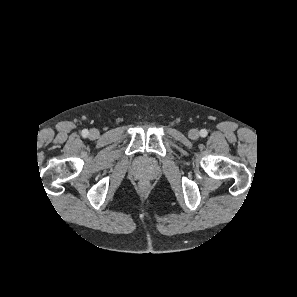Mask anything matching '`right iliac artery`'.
I'll list each match as a JSON object with an SVG mask.
<instances>
[{"label":"right iliac artery","mask_w":297,"mask_h":297,"mask_svg":"<svg viewBox=\"0 0 297 297\" xmlns=\"http://www.w3.org/2000/svg\"><path fill=\"white\" fill-rule=\"evenodd\" d=\"M88 130L87 129H84L83 131H82V135L84 136V137H86L87 135H88Z\"/></svg>","instance_id":"right-iliac-artery-1"}]
</instances>
